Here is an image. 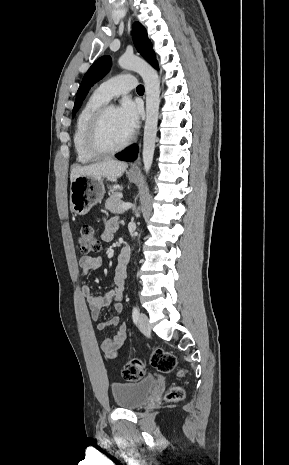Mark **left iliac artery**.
<instances>
[{"instance_id":"44dca946","label":"left iliac artery","mask_w":289,"mask_h":465,"mask_svg":"<svg viewBox=\"0 0 289 465\" xmlns=\"http://www.w3.org/2000/svg\"><path fill=\"white\" fill-rule=\"evenodd\" d=\"M138 317H139V310H138L137 306H135L133 308V311H132V318H133V321H134L135 324L138 321Z\"/></svg>"}]
</instances>
